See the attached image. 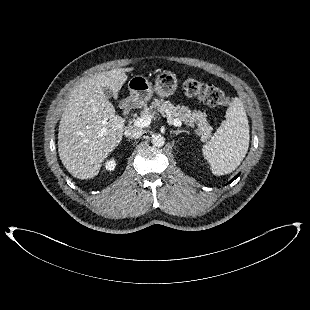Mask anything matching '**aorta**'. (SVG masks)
Here are the masks:
<instances>
[{"label":"aorta","instance_id":"762f6f07","mask_svg":"<svg viewBox=\"0 0 310 310\" xmlns=\"http://www.w3.org/2000/svg\"><path fill=\"white\" fill-rule=\"evenodd\" d=\"M151 142L155 147H162L165 144V139L162 135L155 134L152 136Z\"/></svg>","mask_w":310,"mask_h":310}]
</instances>
